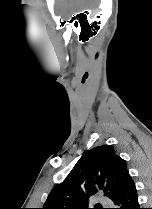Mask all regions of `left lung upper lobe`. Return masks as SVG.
<instances>
[{
	"mask_svg": "<svg viewBox=\"0 0 152 209\" xmlns=\"http://www.w3.org/2000/svg\"><path fill=\"white\" fill-rule=\"evenodd\" d=\"M130 177L126 162L111 145L86 151L66 179L49 194L42 209H89L88 200L102 191L112 199Z\"/></svg>",
	"mask_w": 152,
	"mask_h": 209,
	"instance_id": "1",
	"label": "left lung upper lobe"
}]
</instances>
